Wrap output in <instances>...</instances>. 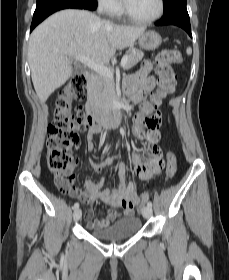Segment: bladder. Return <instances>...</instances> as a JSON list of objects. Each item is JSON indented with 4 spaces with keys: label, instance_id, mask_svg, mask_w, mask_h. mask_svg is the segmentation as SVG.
Instances as JSON below:
<instances>
[{
    "label": "bladder",
    "instance_id": "1",
    "mask_svg": "<svg viewBox=\"0 0 229 280\" xmlns=\"http://www.w3.org/2000/svg\"><path fill=\"white\" fill-rule=\"evenodd\" d=\"M142 222L138 217L131 216L117 220L108 227L101 229H91L90 233L102 240L115 241L131 238L137 235Z\"/></svg>",
    "mask_w": 229,
    "mask_h": 280
}]
</instances>
